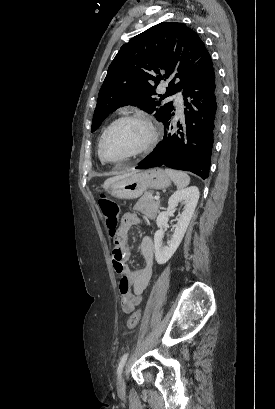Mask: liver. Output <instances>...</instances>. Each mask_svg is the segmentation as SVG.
Listing matches in <instances>:
<instances>
[{
    "instance_id": "1",
    "label": "liver",
    "mask_w": 275,
    "mask_h": 409,
    "mask_svg": "<svg viewBox=\"0 0 275 409\" xmlns=\"http://www.w3.org/2000/svg\"><path fill=\"white\" fill-rule=\"evenodd\" d=\"M134 172H138V170H131V172H124V174H118V176H111V178H107L104 184H102L103 188H108V184L114 182V180H118V178H124V176H129V174H134Z\"/></svg>"
}]
</instances>
